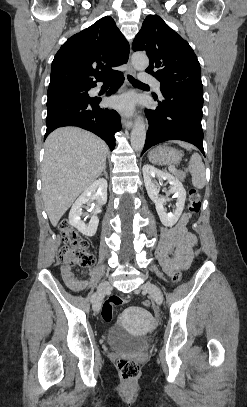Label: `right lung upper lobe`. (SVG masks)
<instances>
[{"mask_svg": "<svg viewBox=\"0 0 247 407\" xmlns=\"http://www.w3.org/2000/svg\"><path fill=\"white\" fill-rule=\"evenodd\" d=\"M129 43L110 16L69 38L57 52L51 66L49 88L94 87L128 60Z\"/></svg>", "mask_w": 247, "mask_h": 407, "instance_id": "cb5924a9", "label": "right lung upper lobe"}]
</instances>
